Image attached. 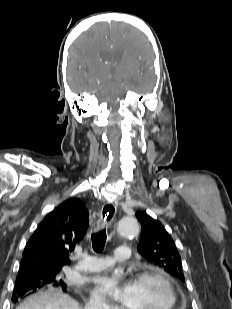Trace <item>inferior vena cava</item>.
Instances as JSON below:
<instances>
[{"label":"inferior vena cava","instance_id":"602c4592","mask_svg":"<svg viewBox=\"0 0 232 309\" xmlns=\"http://www.w3.org/2000/svg\"><path fill=\"white\" fill-rule=\"evenodd\" d=\"M85 309H103L99 300H93Z\"/></svg>","mask_w":232,"mask_h":309}]
</instances>
